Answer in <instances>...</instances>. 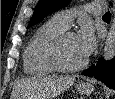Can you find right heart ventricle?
<instances>
[{
	"label": "right heart ventricle",
	"instance_id": "right-heart-ventricle-1",
	"mask_svg": "<svg viewBox=\"0 0 115 99\" xmlns=\"http://www.w3.org/2000/svg\"><path fill=\"white\" fill-rule=\"evenodd\" d=\"M64 30L66 29L50 20L34 32L23 52V67L28 75L43 76L55 71L46 57V47L53 37Z\"/></svg>",
	"mask_w": 115,
	"mask_h": 99
}]
</instances>
